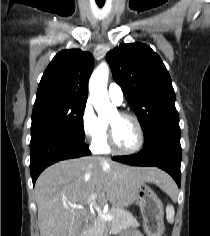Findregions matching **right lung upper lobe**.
<instances>
[{"instance_id":"cb5924a9","label":"right lung upper lobe","mask_w":210,"mask_h":236,"mask_svg":"<svg viewBox=\"0 0 210 236\" xmlns=\"http://www.w3.org/2000/svg\"><path fill=\"white\" fill-rule=\"evenodd\" d=\"M93 65V56L88 52L80 49L59 52L41 78L35 102L51 98L86 101Z\"/></svg>"}]
</instances>
